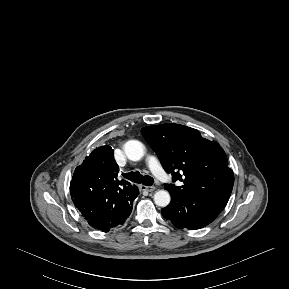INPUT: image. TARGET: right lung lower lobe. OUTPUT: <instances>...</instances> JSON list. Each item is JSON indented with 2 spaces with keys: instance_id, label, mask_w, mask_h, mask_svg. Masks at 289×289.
I'll use <instances>...</instances> for the list:
<instances>
[{
  "instance_id": "1",
  "label": "right lung lower lobe",
  "mask_w": 289,
  "mask_h": 289,
  "mask_svg": "<svg viewBox=\"0 0 289 289\" xmlns=\"http://www.w3.org/2000/svg\"><path fill=\"white\" fill-rule=\"evenodd\" d=\"M79 187H81V185H79V180L77 177L73 178L70 184V193L74 205L79 209L90 226L103 232H108L111 228L116 227L119 224H123L132 211L133 200L139 194L138 188L133 186L129 196L119 198L114 205L89 210L87 206L80 207L79 203L77 202Z\"/></svg>"
}]
</instances>
